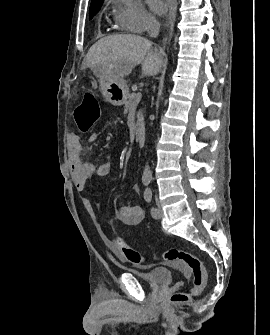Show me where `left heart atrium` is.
I'll use <instances>...</instances> for the list:
<instances>
[{
	"mask_svg": "<svg viewBox=\"0 0 270 335\" xmlns=\"http://www.w3.org/2000/svg\"><path fill=\"white\" fill-rule=\"evenodd\" d=\"M150 7L156 14H161L163 12L162 3L159 0L150 1Z\"/></svg>",
	"mask_w": 270,
	"mask_h": 335,
	"instance_id": "obj_1",
	"label": "left heart atrium"
}]
</instances>
